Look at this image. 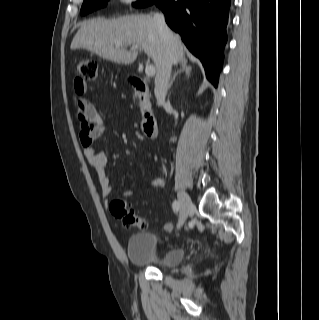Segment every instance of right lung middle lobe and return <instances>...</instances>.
Listing matches in <instances>:
<instances>
[{"instance_id":"dd1d6c3e","label":"right lung middle lobe","mask_w":319,"mask_h":320,"mask_svg":"<svg viewBox=\"0 0 319 320\" xmlns=\"http://www.w3.org/2000/svg\"><path fill=\"white\" fill-rule=\"evenodd\" d=\"M154 0H139L136 3H133L135 7H145L151 4ZM108 0H85L83 2L80 14L86 15L94 10L105 7L107 5Z\"/></svg>"}]
</instances>
